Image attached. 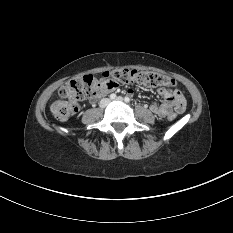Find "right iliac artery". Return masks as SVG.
I'll return each mask as SVG.
<instances>
[{
  "mask_svg": "<svg viewBox=\"0 0 233 233\" xmlns=\"http://www.w3.org/2000/svg\"><path fill=\"white\" fill-rule=\"evenodd\" d=\"M115 98H116V94H111V95H110V99L113 100V99H115Z\"/></svg>",
  "mask_w": 233,
  "mask_h": 233,
  "instance_id": "right-iliac-artery-1",
  "label": "right iliac artery"
}]
</instances>
